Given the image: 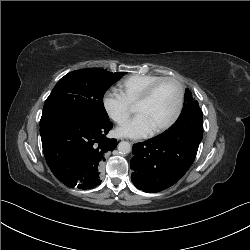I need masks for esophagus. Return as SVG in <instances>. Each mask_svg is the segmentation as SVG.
<instances>
[{
	"instance_id": "obj_1",
	"label": "esophagus",
	"mask_w": 250,
	"mask_h": 250,
	"mask_svg": "<svg viewBox=\"0 0 250 250\" xmlns=\"http://www.w3.org/2000/svg\"><path fill=\"white\" fill-rule=\"evenodd\" d=\"M130 143H131V144H135V143H137V142L134 141V140H131Z\"/></svg>"
}]
</instances>
